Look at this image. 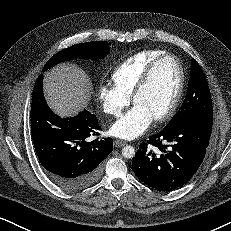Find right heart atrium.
Listing matches in <instances>:
<instances>
[{
    "instance_id": "1",
    "label": "right heart atrium",
    "mask_w": 231,
    "mask_h": 231,
    "mask_svg": "<svg viewBox=\"0 0 231 231\" xmlns=\"http://www.w3.org/2000/svg\"><path fill=\"white\" fill-rule=\"evenodd\" d=\"M97 96L103 112L114 117H118L131 101L130 97L111 83L101 84L98 88Z\"/></svg>"
}]
</instances>
